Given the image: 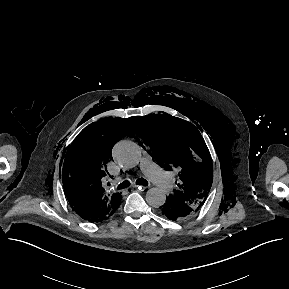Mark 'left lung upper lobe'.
Instances as JSON below:
<instances>
[{"mask_svg":"<svg viewBox=\"0 0 289 289\" xmlns=\"http://www.w3.org/2000/svg\"><path fill=\"white\" fill-rule=\"evenodd\" d=\"M138 124L137 132L149 145L153 159L166 170L179 172L178 189L169 198L198 211L213 180L211 156L198 129L171 115L144 116Z\"/></svg>","mask_w":289,"mask_h":289,"instance_id":"1","label":"left lung upper lobe"}]
</instances>
